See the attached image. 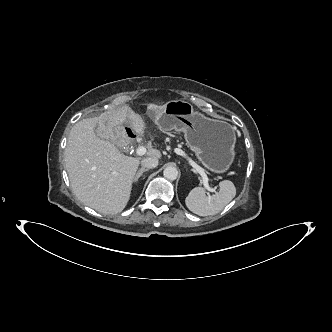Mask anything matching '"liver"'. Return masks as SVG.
Returning <instances> with one entry per match:
<instances>
[{
    "label": "liver",
    "mask_w": 332,
    "mask_h": 332,
    "mask_svg": "<svg viewBox=\"0 0 332 332\" xmlns=\"http://www.w3.org/2000/svg\"><path fill=\"white\" fill-rule=\"evenodd\" d=\"M164 108L165 105L150 104L147 110L157 113ZM126 113L127 109L121 108L77 122L65 149V167L74 194L86 206L103 214H117L126 207L140 163V158L120 153L108 140L115 127L137 124L138 119H125ZM97 124L105 129V139L95 134ZM146 156L161 159V152L150 147Z\"/></svg>",
    "instance_id": "liver-1"
}]
</instances>
